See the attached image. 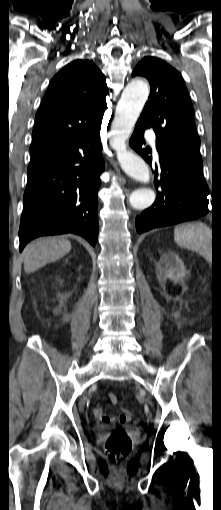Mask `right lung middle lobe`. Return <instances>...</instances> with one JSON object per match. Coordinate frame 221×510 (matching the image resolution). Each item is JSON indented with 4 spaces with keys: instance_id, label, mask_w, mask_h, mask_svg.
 <instances>
[{
    "instance_id": "right-lung-middle-lobe-1",
    "label": "right lung middle lobe",
    "mask_w": 221,
    "mask_h": 510,
    "mask_svg": "<svg viewBox=\"0 0 221 510\" xmlns=\"http://www.w3.org/2000/svg\"><path fill=\"white\" fill-rule=\"evenodd\" d=\"M38 153H32L31 156L37 155Z\"/></svg>"
}]
</instances>
